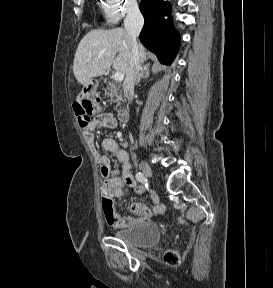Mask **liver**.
Segmentation results:
<instances>
[{"label":"liver","mask_w":273,"mask_h":288,"mask_svg":"<svg viewBox=\"0 0 273 288\" xmlns=\"http://www.w3.org/2000/svg\"><path fill=\"white\" fill-rule=\"evenodd\" d=\"M131 48V38L123 28L91 30L82 38L75 53L73 72L76 80L86 87L92 78L106 74L111 66L126 75ZM138 51L140 61H146V50L140 43Z\"/></svg>","instance_id":"liver-1"}]
</instances>
